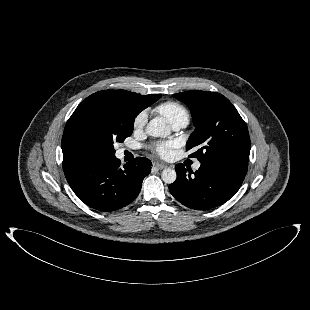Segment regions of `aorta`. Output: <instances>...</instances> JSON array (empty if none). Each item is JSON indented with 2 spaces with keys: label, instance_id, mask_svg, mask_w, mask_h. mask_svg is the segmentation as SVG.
Wrapping results in <instances>:
<instances>
[{
  "label": "aorta",
  "instance_id": "1",
  "mask_svg": "<svg viewBox=\"0 0 310 310\" xmlns=\"http://www.w3.org/2000/svg\"><path fill=\"white\" fill-rule=\"evenodd\" d=\"M146 133L152 137H167L170 134V129L163 119L154 118L147 124ZM176 177V171L171 168L164 169L161 173L163 182L167 184L175 182Z\"/></svg>",
  "mask_w": 310,
  "mask_h": 310
}]
</instances>
